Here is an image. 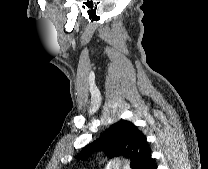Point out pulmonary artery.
<instances>
[{
	"mask_svg": "<svg viewBox=\"0 0 208 169\" xmlns=\"http://www.w3.org/2000/svg\"><path fill=\"white\" fill-rule=\"evenodd\" d=\"M111 168H113V169H120L122 167H121L120 162L116 161ZM124 169H129V167H124Z\"/></svg>",
	"mask_w": 208,
	"mask_h": 169,
	"instance_id": "1",
	"label": "pulmonary artery"
}]
</instances>
